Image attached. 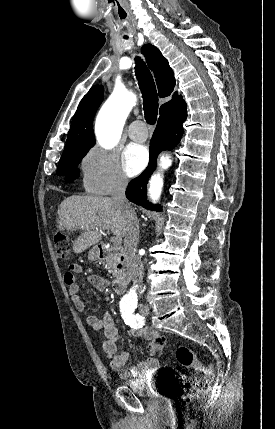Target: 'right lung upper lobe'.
Wrapping results in <instances>:
<instances>
[{
  "label": "right lung upper lobe",
  "mask_w": 275,
  "mask_h": 429,
  "mask_svg": "<svg viewBox=\"0 0 275 429\" xmlns=\"http://www.w3.org/2000/svg\"><path fill=\"white\" fill-rule=\"evenodd\" d=\"M148 66L154 72L158 85L159 96L164 98L170 96L175 87V78L172 69L161 52L153 45L146 44L142 47ZM103 86L95 85L81 100L77 111L73 117L68 138L62 156L87 153L95 144L93 132L94 115L103 100ZM181 103H185L177 92L173 94V99L164 103L160 107L159 119L173 113Z\"/></svg>",
  "instance_id": "1"
}]
</instances>
